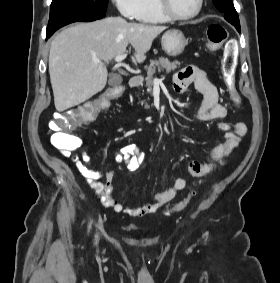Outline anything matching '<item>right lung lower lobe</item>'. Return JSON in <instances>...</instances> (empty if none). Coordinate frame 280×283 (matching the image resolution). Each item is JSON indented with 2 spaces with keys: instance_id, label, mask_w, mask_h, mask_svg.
I'll return each mask as SVG.
<instances>
[{
  "instance_id": "98d812e1",
  "label": "right lung lower lobe",
  "mask_w": 280,
  "mask_h": 283,
  "mask_svg": "<svg viewBox=\"0 0 280 283\" xmlns=\"http://www.w3.org/2000/svg\"><path fill=\"white\" fill-rule=\"evenodd\" d=\"M70 23H73V22H63V23H59V24H57V25H55V26H52V27L47 28V33H46L47 38H46V39L50 38V37L52 36V34H53L55 31H57L59 28L65 26V25H67V24H70Z\"/></svg>"
}]
</instances>
